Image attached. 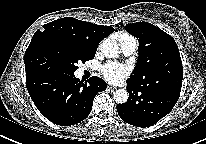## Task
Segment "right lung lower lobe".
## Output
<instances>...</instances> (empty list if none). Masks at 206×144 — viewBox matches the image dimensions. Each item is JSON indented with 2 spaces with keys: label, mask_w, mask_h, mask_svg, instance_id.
<instances>
[{
  "label": "right lung lower lobe",
  "mask_w": 206,
  "mask_h": 144,
  "mask_svg": "<svg viewBox=\"0 0 206 144\" xmlns=\"http://www.w3.org/2000/svg\"><path fill=\"white\" fill-rule=\"evenodd\" d=\"M83 83L74 74L34 72L26 74L27 90L41 114L54 124L74 125L90 114L94 97L107 84L99 77Z\"/></svg>",
  "instance_id": "right-lung-lower-lobe-1"
}]
</instances>
